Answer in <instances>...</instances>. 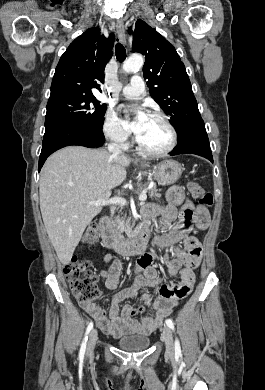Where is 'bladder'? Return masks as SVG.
Here are the masks:
<instances>
[{
	"instance_id": "obj_1",
	"label": "bladder",
	"mask_w": 265,
	"mask_h": 390,
	"mask_svg": "<svg viewBox=\"0 0 265 390\" xmlns=\"http://www.w3.org/2000/svg\"><path fill=\"white\" fill-rule=\"evenodd\" d=\"M116 344L124 351H142L148 348L150 339L141 335L123 336L117 339Z\"/></svg>"
}]
</instances>
